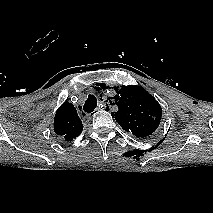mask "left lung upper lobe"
I'll use <instances>...</instances> for the list:
<instances>
[{"label":"left lung upper lobe","instance_id":"1","mask_svg":"<svg viewBox=\"0 0 213 213\" xmlns=\"http://www.w3.org/2000/svg\"><path fill=\"white\" fill-rule=\"evenodd\" d=\"M116 93L111 99L114 100L112 104L118 106V111L112 116L119 125L140 138L155 132L162 116V108L156 99L140 86L116 87Z\"/></svg>","mask_w":213,"mask_h":213}]
</instances>
